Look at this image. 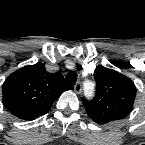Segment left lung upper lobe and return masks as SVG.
<instances>
[{"label": "left lung upper lobe", "instance_id": "obj_1", "mask_svg": "<svg viewBox=\"0 0 145 145\" xmlns=\"http://www.w3.org/2000/svg\"><path fill=\"white\" fill-rule=\"evenodd\" d=\"M94 77L97 83L94 99H82L90 118L98 124L125 118L136 97V87L131 79L103 66L95 69Z\"/></svg>", "mask_w": 145, "mask_h": 145}]
</instances>
